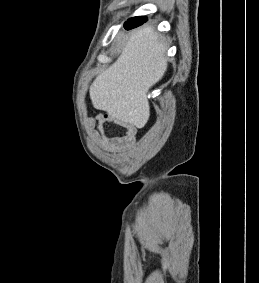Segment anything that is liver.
I'll return each mask as SVG.
<instances>
[{
	"label": "liver",
	"mask_w": 259,
	"mask_h": 283,
	"mask_svg": "<svg viewBox=\"0 0 259 283\" xmlns=\"http://www.w3.org/2000/svg\"><path fill=\"white\" fill-rule=\"evenodd\" d=\"M166 50L154 28L135 31L117 60L91 85L94 108L143 128L150 116L147 93L167 70Z\"/></svg>",
	"instance_id": "liver-1"
}]
</instances>
